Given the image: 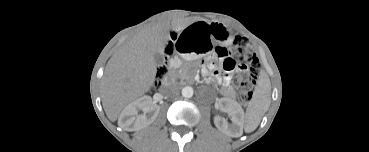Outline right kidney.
I'll list each match as a JSON object with an SVG mask.
<instances>
[{
    "label": "right kidney",
    "mask_w": 369,
    "mask_h": 152,
    "mask_svg": "<svg viewBox=\"0 0 369 152\" xmlns=\"http://www.w3.org/2000/svg\"><path fill=\"white\" fill-rule=\"evenodd\" d=\"M159 107L152 103L149 96H144L130 103L122 111L120 118L127 126L140 130L150 125L158 114ZM143 111V114H139Z\"/></svg>",
    "instance_id": "1"
}]
</instances>
